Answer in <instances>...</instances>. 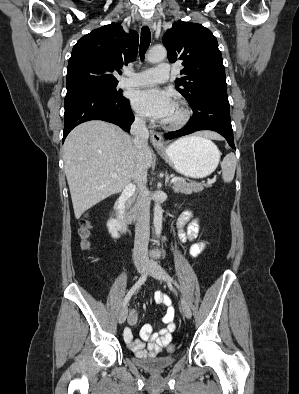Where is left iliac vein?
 Instances as JSON below:
<instances>
[{"label": "left iliac vein", "instance_id": "4c4485c4", "mask_svg": "<svg viewBox=\"0 0 299 394\" xmlns=\"http://www.w3.org/2000/svg\"><path fill=\"white\" fill-rule=\"evenodd\" d=\"M148 273L152 277H154L155 279H157L159 281H164V282L167 281V276H166L164 269L156 262H149L148 263ZM181 305H182V311H183L184 315L188 319L191 318V316H192L191 309L184 299H182Z\"/></svg>", "mask_w": 299, "mask_h": 394}]
</instances>
